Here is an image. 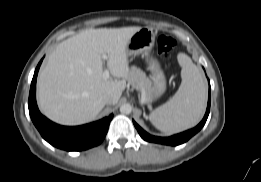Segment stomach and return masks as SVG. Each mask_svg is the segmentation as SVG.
<instances>
[{
  "label": "stomach",
  "instance_id": "1",
  "mask_svg": "<svg viewBox=\"0 0 261 182\" xmlns=\"http://www.w3.org/2000/svg\"><path fill=\"white\" fill-rule=\"evenodd\" d=\"M155 32L152 28L144 27L134 33L130 38L127 47V56L143 54L147 63V69L150 71L153 82L151 99L160 97L166 89V79L158 60L151 55V50L155 43Z\"/></svg>",
  "mask_w": 261,
  "mask_h": 182
}]
</instances>
